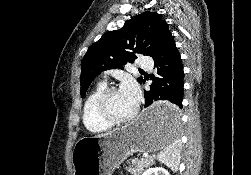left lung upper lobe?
<instances>
[{
    "label": "left lung upper lobe",
    "instance_id": "obj_1",
    "mask_svg": "<svg viewBox=\"0 0 251 175\" xmlns=\"http://www.w3.org/2000/svg\"><path fill=\"white\" fill-rule=\"evenodd\" d=\"M162 15L145 11L131 18L121 29L105 33L92 44L81 63V95L102 71L133 62L138 54L153 56L170 30ZM142 82V78H138Z\"/></svg>",
    "mask_w": 251,
    "mask_h": 175
}]
</instances>
